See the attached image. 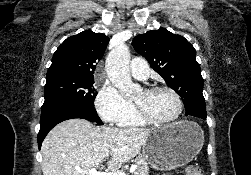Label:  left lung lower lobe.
I'll use <instances>...</instances> for the list:
<instances>
[{
    "instance_id": "1",
    "label": "left lung lower lobe",
    "mask_w": 251,
    "mask_h": 175,
    "mask_svg": "<svg viewBox=\"0 0 251 175\" xmlns=\"http://www.w3.org/2000/svg\"><path fill=\"white\" fill-rule=\"evenodd\" d=\"M186 107V116L198 119H206V108L205 103H191L185 106Z\"/></svg>"
}]
</instances>
